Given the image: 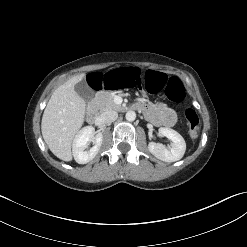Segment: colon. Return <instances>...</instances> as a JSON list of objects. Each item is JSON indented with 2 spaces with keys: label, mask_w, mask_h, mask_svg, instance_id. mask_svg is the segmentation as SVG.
I'll list each match as a JSON object with an SVG mask.
<instances>
[{
  "label": "colon",
  "mask_w": 247,
  "mask_h": 247,
  "mask_svg": "<svg viewBox=\"0 0 247 247\" xmlns=\"http://www.w3.org/2000/svg\"><path fill=\"white\" fill-rule=\"evenodd\" d=\"M85 86L92 93L105 91L135 90L139 93H157L164 89L166 97L172 102H180L185 97V88L177 77L168 78L159 72H144L140 67L120 66L107 70H93L85 79ZM185 119L191 136H197L200 119L197 112L188 108Z\"/></svg>",
  "instance_id": "obj_1"
}]
</instances>
